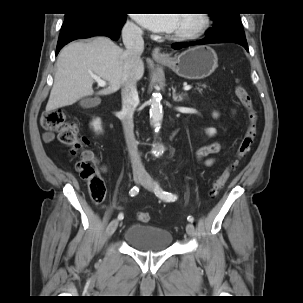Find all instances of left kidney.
I'll list each match as a JSON object with an SVG mask.
<instances>
[{"label":"left kidney","instance_id":"1","mask_svg":"<svg viewBox=\"0 0 303 303\" xmlns=\"http://www.w3.org/2000/svg\"><path fill=\"white\" fill-rule=\"evenodd\" d=\"M213 116H214V117H217V114H216V113H214V114H213ZM207 132H208V134L213 135V134H215V133H216V130H215V129H213V128H210V129H208V130H207Z\"/></svg>","mask_w":303,"mask_h":303}]
</instances>
